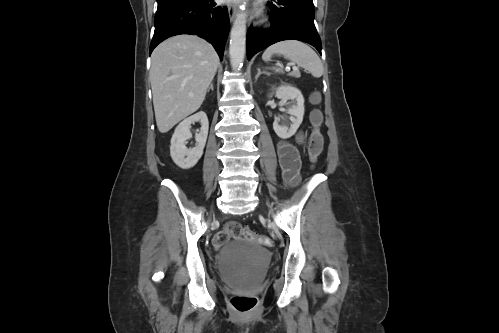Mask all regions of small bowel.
<instances>
[{"label":"small bowel","instance_id":"1","mask_svg":"<svg viewBox=\"0 0 499 333\" xmlns=\"http://www.w3.org/2000/svg\"><path fill=\"white\" fill-rule=\"evenodd\" d=\"M306 135L299 131L296 142L300 145L306 144ZM277 153L282 168L283 179L290 185L295 186L300 180L301 159L297 147L284 140L277 143Z\"/></svg>","mask_w":499,"mask_h":333}]
</instances>
